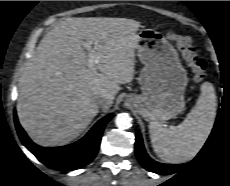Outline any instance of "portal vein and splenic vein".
Wrapping results in <instances>:
<instances>
[{"instance_id":"18ae733b","label":"portal vein and splenic vein","mask_w":230,"mask_h":186,"mask_svg":"<svg viewBox=\"0 0 230 186\" xmlns=\"http://www.w3.org/2000/svg\"><path fill=\"white\" fill-rule=\"evenodd\" d=\"M83 46L89 51L88 53V66L92 67L97 63V56L94 49L91 46V43L83 42Z\"/></svg>"}]
</instances>
